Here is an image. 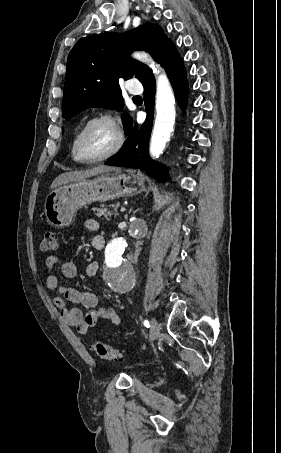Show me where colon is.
<instances>
[{"label":"colon","instance_id":"1","mask_svg":"<svg viewBox=\"0 0 281 453\" xmlns=\"http://www.w3.org/2000/svg\"><path fill=\"white\" fill-rule=\"evenodd\" d=\"M41 249L43 252H57L59 250V232L57 230L46 231ZM93 349L96 355L105 362L115 363L120 361L118 351L103 342H96Z\"/></svg>","mask_w":281,"mask_h":453}]
</instances>
